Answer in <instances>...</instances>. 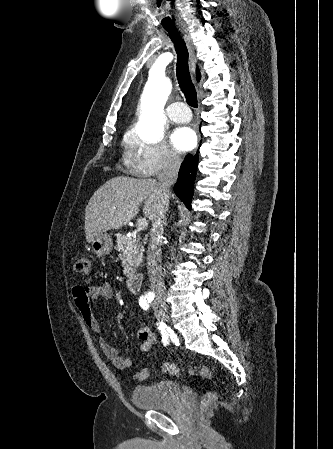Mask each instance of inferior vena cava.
I'll list each match as a JSON object with an SVG mask.
<instances>
[{
	"label": "inferior vena cava",
	"mask_w": 333,
	"mask_h": 449,
	"mask_svg": "<svg viewBox=\"0 0 333 449\" xmlns=\"http://www.w3.org/2000/svg\"><path fill=\"white\" fill-rule=\"evenodd\" d=\"M181 159L176 154H170L167 164L159 175L161 198L157 207L147 252L148 274L151 290L156 296L164 293L163 269L161 267V244L163 238V226L165 215L169 206L170 186L174 184L178 177Z\"/></svg>",
	"instance_id": "inferior-vena-cava-1"
}]
</instances>
